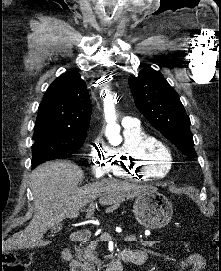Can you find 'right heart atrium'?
<instances>
[{
	"instance_id": "1",
	"label": "right heart atrium",
	"mask_w": 221,
	"mask_h": 271,
	"mask_svg": "<svg viewBox=\"0 0 221 271\" xmlns=\"http://www.w3.org/2000/svg\"><path fill=\"white\" fill-rule=\"evenodd\" d=\"M94 151H91V156L89 157V167L91 170H95L96 177H106V173H115L111 171V161H117V155L113 151H103V146H94ZM103 151V154L102 152ZM109 156V157H106Z\"/></svg>"
}]
</instances>
